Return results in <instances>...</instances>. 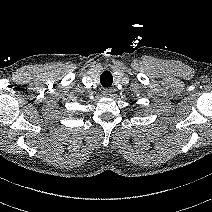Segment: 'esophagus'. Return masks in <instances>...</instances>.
Listing matches in <instances>:
<instances>
[{"mask_svg": "<svg viewBox=\"0 0 212 212\" xmlns=\"http://www.w3.org/2000/svg\"><path fill=\"white\" fill-rule=\"evenodd\" d=\"M102 93H103V95L104 96H111V94H112V89L111 88H104L103 90H102Z\"/></svg>", "mask_w": 212, "mask_h": 212, "instance_id": "esophagus-1", "label": "esophagus"}]
</instances>
